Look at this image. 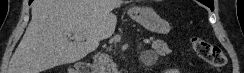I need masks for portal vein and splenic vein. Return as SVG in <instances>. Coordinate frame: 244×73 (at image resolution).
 <instances>
[{
    "label": "portal vein and splenic vein",
    "instance_id": "portal-vein-and-splenic-vein-1",
    "mask_svg": "<svg viewBox=\"0 0 244 73\" xmlns=\"http://www.w3.org/2000/svg\"><path fill=\"white\" fill-rule=\"evenodd\" d=\"M73 37L75 39H79V40H83L84 39V37L82 35H74ZM143 42L146 43V44H149L151 41L149 39H144Z\"/></svg>",
    "mask_w": 244,
    "mask_h": 73
}]
</instances>
